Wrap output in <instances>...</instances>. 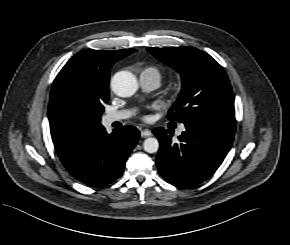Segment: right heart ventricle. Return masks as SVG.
<instances>
[{"mask_svg":"<svg viewBox=\"0 0 290 245\" xmlns=\"http://www.w3.org/2000/svg\"><path fill=\"white\" fill-rule=\"evenodd\" d=\"M145 72H157V73H159L158 69L155 67H152V66L144 68L141 73H145Z\"/></svg>","mask_w":290,"mask_h":245,"instance_id":"obj_1","label":"right heart ventricle"}]
</instances>
